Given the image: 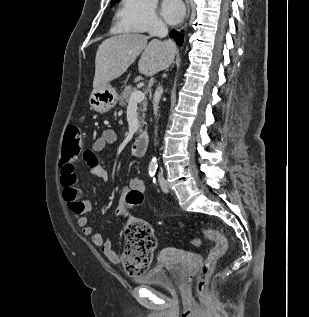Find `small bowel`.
I'll return each instance as SVG.
<instances>
[{"label":"small bowel","instance_id":"small-bowel-1","mask_svg":"<svg viewBox=\"0 0 309 317\" xmlns=\"http://www.w3.org/2000/svg\"><path fill=\"white\" fill-rule=\"evenodd\" d=\"M117 141V134L112 129L103 131L98 137L91 149H88L83 154V159L88 167V174L90 176L101 178L104 181L108 180V173L100 164L97 153L106 149L107 146L115 144ZM61 182L63 187V198L66 202L68 211L74 217L76 224L81 228L84 236H89L91 242L100 247L102 253L113 264H118L121 260L119 254L114 250L111 240L99 232H95L89 225L88 213L92 209L91 202L82 197L81 189L77 182L75 166L70 163L61 168ZM131 191H138L144 193V183L138 178H132L129 186L123 190L121 201L117 207L115 215L117 218L125 217L129 214L132 205L127 202V195Z\"/></svg>","mask_w":309,"mask_h":317}]
</instances>
